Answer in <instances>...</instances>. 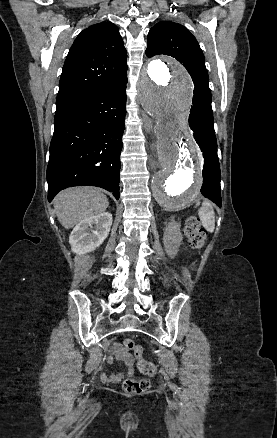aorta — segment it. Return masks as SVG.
<instances>
[{"label": "aorta", "mask_w": 277, "mask_h": 438, "mask_svg": "<svg viewBox=\"0 0 277 438\" xmlns=\"http://www.w3.org/2000/svg\"><path fill=\"white\" fill-rule=\"evenodd\" d=\"M192 82L187 71L168 58L150 61L141 71L138 96L156 120L160 169L153 193L160 206L180 210L197 197L202 182V155L188 130Z\"/></svg>", "instance_id": "1"}]
</instances>
